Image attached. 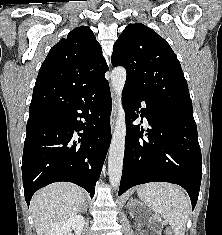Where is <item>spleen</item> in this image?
Instances as JSON below:
<instances>
[{
  "label": "spleen",
  "mask_w": 222,
  "mask_h": 235,
  "mask_svg": "<svg viewBox=\"0 0 222 235\" xmlns=\"http://www.w3.org/2000/svg\"><path fill=\"white\" fill-rule=\"evenodd\" d=\"M137 194L148 207L171 225L175 235H185L190 203L179 186L154 182L140 186Z\"/></svg>",
  "instance_id": "1"
}]
</instances>
